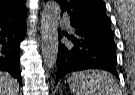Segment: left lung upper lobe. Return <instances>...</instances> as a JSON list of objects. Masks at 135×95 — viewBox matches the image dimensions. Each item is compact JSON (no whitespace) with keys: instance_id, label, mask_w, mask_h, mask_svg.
I'll use <instances>...</instances> for the list:
<instances>
[{"instance_id":"5c2ea615","label":"left lung upper lobe","mask_w":135,"mask_h":95,"mask_svg":"<svg viewBox=\"0 0 135 95\" xmlns=\"http://www.w3.org/2000/svg\"><path fill=\"white\" fill-rule=\"evenodd\" d=\"M62 14L70 15L76 33H103L113 35L103 0H56Z\"/></svg>"}]
</instances>
